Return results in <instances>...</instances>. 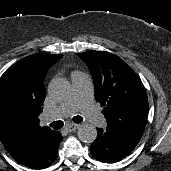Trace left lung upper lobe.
<instances>
[{"instance_id":"left-lung-upper-lobe-1","label":"left lung upper lobe","mask_w":171,"mask_h":171,"mask_svg":"<svg viewBox=\"0 0 171 171\" xmlns=\"http://www.w3.org/2000/svg\"><path fill=\"white\" fill-rule=\"evenodd\" d=\"M77 55L93 77L96 100L104 107L106 129L138 143L148 115L147 94L140 78L114 54L92 50Z\"/></svg>"}]
</instances>
